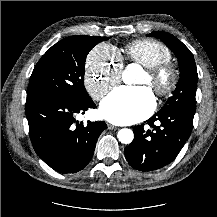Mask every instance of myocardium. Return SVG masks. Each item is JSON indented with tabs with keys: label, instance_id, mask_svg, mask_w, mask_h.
<instances>
[{
	"label": "myocardium",
	"instance_id": "myocardium-1",
	"mask_svg": "<svg viewBox=\"0 0 217 217\" xmlns=\"http://www.w3.org/2000/svg\"><path fill=\"white\" fill-rule=\"evenodd\" d=\"M146 74L149 77V87L159 97H166L172 94L179 79L177 69L169 60L147 68Z\"/></svg>",
	"mask_w": 217,
	"mask_h": 217
}]
</instances>
